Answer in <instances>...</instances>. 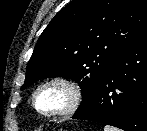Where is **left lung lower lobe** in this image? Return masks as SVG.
<instances>
[{"instance_id": "1", "label": "left lung lower lobe", "mask_w": 147, "mask_h": 131, "mask_svg": "<svg viewBox=\"0 0 147 131\" xmlns=\"http://www.w3.org/2000/svg\"><path fill=\"white\" fill-rule=\"evenodd\" d=\"M72 118L147 131V37L116 58L96 94Z\"/></svg>"}]
</instances>
